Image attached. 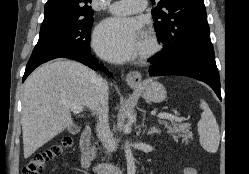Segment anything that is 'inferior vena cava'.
<instances>
[{
    "label": "inferior vena cava",
    "instance_id": "602c4592",
    "mask_svg": "<svg viewBox=\"0 0 249 174\" xmlns=\"http://www.w3.org/2000/svg\"><path fill=\"white\" fill-rule=\"evenodd\" d=\"M98 85V108L96 110V115L98 118L96 125V132L98 138L103 143L107 154L111 155L113 149L111 144L110 129L108 124V84L107 81L99 77L97 79Z\"/></svg>",
    "mask_w": 249,
    "mask_h": 174
}]
</instances>
